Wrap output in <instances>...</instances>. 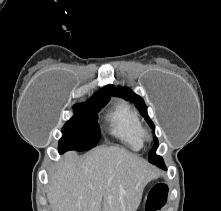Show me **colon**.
Masks as SVG:
<instances>
[{"mask_svg":"<svg viewBox=\"0 0 221 211\" xmlns=\"http://www.w3.org/2000/svg\"><path fill=\"white\" fill-rule=\"evenodd\" d=\"M168 186L165 183H158L154 185L146 199V211H158L160 210L167 201Z\"/></svg>","mask_w":221,"mask_h":211,"instance_id":"5ec220e1","label":"colon"}]
</instances>
